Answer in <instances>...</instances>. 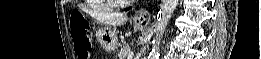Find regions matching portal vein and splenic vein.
<instances>
[{
  "label": "portal vein and splenic vein",
  "instance_id": "18ae733b",
  "mask_svg": "<svg viewBox=\"0 0 261 59\" xmlns=\"http://www.w3.org/2000/svg\"><path fill=\"white\" fill-rule=\"evenodd\" d=\"M132 56H133V53H132V52H130V53L128 54V57H127V59H132Z\"/></svg>",
  "mask_w": 261,
  "mask_h": 59
}]
</instances>
